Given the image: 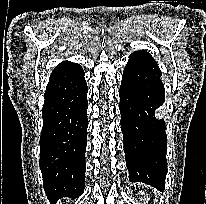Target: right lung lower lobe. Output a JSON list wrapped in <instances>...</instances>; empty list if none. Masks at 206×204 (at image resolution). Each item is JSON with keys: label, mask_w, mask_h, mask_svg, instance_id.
<instances>
[{"label": "right lung lower lobe", "mask_w": 206, "mask_h": 204, "mask_svg": "<svg viewBox=\"0 0 206 204\" xmlns=\"http://www.w3.org/2000/svg\"><path fill=\"white\" fill-rule=\"evenodd\" d=\"M87 84L83 68H55L46 87L40 136V169L48 199L78 197L85 188Z\"/></svg>", "instance_id": "right-lung-lower-lobe-1"}]
</instances>
